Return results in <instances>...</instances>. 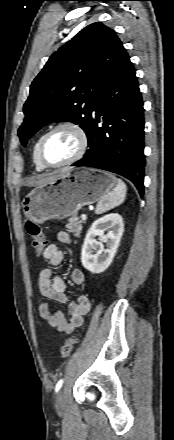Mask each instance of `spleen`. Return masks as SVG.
Wrapping results in <instances>:
<instances>
[{
    "mask_svg": "<svg viewBox=\"0 0 174 440\" xmlns=\"http://www.w3.org/2000/svg\"><path fill=\"white\" fill-rule=\"evenodd\" d=\"M126 192V184L121 179H117L116 187L98 202L95 213L102 214L123 203Z\"/></svg>",
    "mask_w": 174,
    "mask_h": 440,
    "instance_id": "obj_1",
    "label": "spleen"
}]
</instances>
